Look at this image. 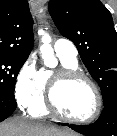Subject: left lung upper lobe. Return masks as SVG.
I'll return each mask as SVG.
<instances>
[{
  "mask_svg": "<svg viewBox=\"0 0 117 136\" xmlns=\"http://www.w3.org/2000/svg\"><path fill=\"white\" fill-rule=\"evenodd\" d=\"M48 9L99 84L105 105L117 96V33L111 13L99 0H50Z\"/></svg>",
  "mask_w": 117,
  "mask_h": 136,
  "instance_id": "obj_1",
  "label": "left lung upper lobe"
}]
</instances>
